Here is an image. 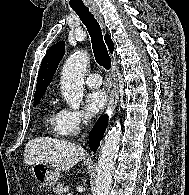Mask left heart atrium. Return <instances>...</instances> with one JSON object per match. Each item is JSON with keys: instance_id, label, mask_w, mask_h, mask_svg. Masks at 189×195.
I'll use <instances>...</instances> for the list:
<instances>
[{"instance_id": "39dd6f15", "label": "left heart atrium", "mask_w": 189, "mask_h": 195, "mask_svg": "<svg viewBox=\"0 0 189 195\" xmlns=\"http://www.w3.org/2000/svg\"><path fill=\"white\" fill-rule=\"evenodd\" d=\"M107 94L102 89H95L86 95L85 103L87 113L92 116L99 113L107 102Z\"/></svg>"}]
</instances>
